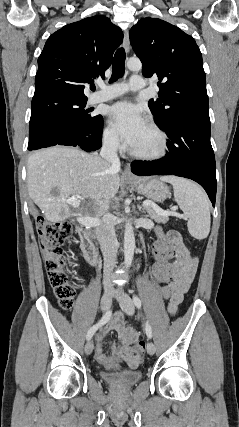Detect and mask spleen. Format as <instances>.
I'll use <instances>...</instances> for the list:
<instances>
[{"mask_svg": "<svg viewBox=\"0 0 239 427\" xmlns=\"http://www.w3.org/2000/svg\"><path fill=\"white\" fill-rule=\"evenodd\" d=\"M162 181L173 186L174 199L188 220L189 233L196 239H205L210 232V208L205 192L194 182L177 176H163Z\"/></svg>", "mask_w": 239, "mask_h": 427, "instance_id": "1", "label": "spleen"}]
</instances>
